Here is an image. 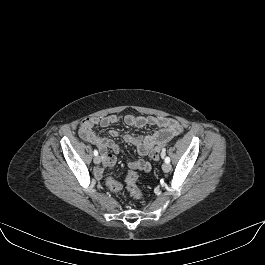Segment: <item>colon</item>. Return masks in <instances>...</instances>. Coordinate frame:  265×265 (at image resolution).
I'll use <instances>...</instances> for the list:
<instances>
[{
    "instance_id": "colon-1",
    "label": "colon",
    "mask_w": 265,
    "mask_h": 265,
    "mask_svg": "<svg viewBox=\"0 0 265 265\" xmlns=\"http://www.w3.org/2000/svg\"><path fill=\"white\" fill-rule=\"evenodd\" d=\"M81 131L85 130V124L84 122L81 125ZM166 152L165 144L156 146L153 148V150L150 152V157L154 161L159 160ZM137 179H138V174L135 170H129L126 175V186L130 194L137 198L140 199L142 197V193L140 189L137 186ZM106 184L108 188L114 192L118 193L122 190V184L115 178V177H108L106 180Z\"/></svg>"
}]
</instances>
